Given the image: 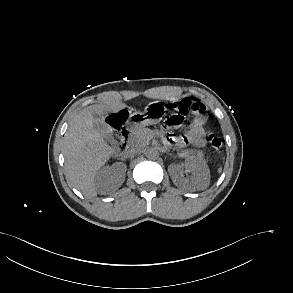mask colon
<instances>
[{
    "instance_id": "1",
    "label": "colon",
    "mask_w": 293,
    "mask_h": 293,
    "mask_svg": "<svg viewBox=\"0 0 293 293\" xmlns=\"http://www.w3.org/2000/svg\"><path fill=\"white\" fill-rule=\"evenodd\" d=\"M206 114V107L200 101H193L190 98H182L174 101L171 104V113L164 121L162 128L166 131L169 135H172L174 129L180 127L186 118L188 117H199L205 118ZM125 120L124 112H119L112 116V123L114 126H119ZM118 136V133H116ZM178 139H183V136H176ZM208 142L212 149L216 153H220L222 150V140L216 134H210L208 136Z\"/></svg>"
}]
</instances>
